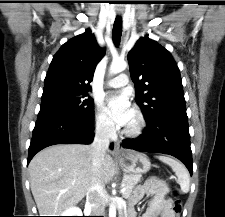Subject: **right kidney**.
<instances>
[{
  "label": "right kidney",
  "mask_w": 225,
  "mask_h": 217,
  "mask_svg": "<svg viewBox=\"0 0 225 217\" xmlns=\"http://www.w3.org/2000/svg\"><path fill=\"white\" fill-rule=\"evenodd\" d=\"M61 216H82V212L79 208H70Z\"/></svg>",
  "instance_id": "right-kidney-1"
}]
</instances>
